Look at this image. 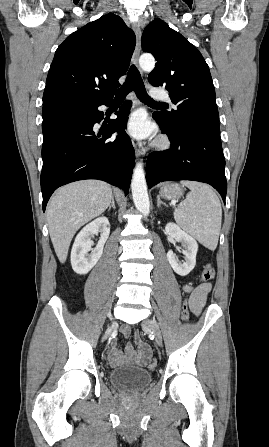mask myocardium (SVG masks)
Returning a JSON list of instances; mask_svg holds the SVG:
<instances>
[{
    "instance_id": "f54148a6",
    "label": "myocardium",
    "mask_w": 269,
    "mask_h": 447,
    "mask_svg": "<svg viewBox=\"0 0 269 447\" xmlns=\"http://www.w3.org/2000/svg\"><path fill=\"white\" fill-rule=\"evenodd\" d=\"M171 145V141L169 139V137H167L166 135H162L160 136L157 141L155 142V147L157 150H166L170 147Z\"/></svg>"
}]
</instances>
